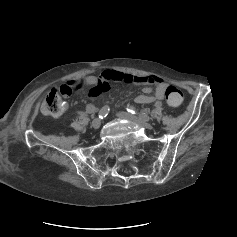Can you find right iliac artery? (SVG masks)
I'll return each instance as SVG.
<instances>
[{"instance_id":"right-iliac-artery-1","label":"right iliac artery","mask_w":237,"mask_h":237,"mask_svg":"<svg viewBox=\"0 0 237 237\" xmlns=\"http://www.w3.org/2000/svg\"><path fill=\"white\" fill-rule=\"evenodd\" d=\"M108 113H109V107H108L107 105H105V106H103V107L101 108V110L99 111L98 117H99L100 119H103V118H105V117L108 115ZM77 114H78L79 116H81V117H85V116L88 115L87 112H83V111H79V112H77Z\"/></svg>"}]
</instances>
